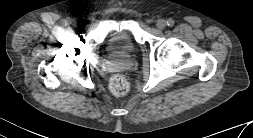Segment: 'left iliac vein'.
I'll list each match as a JSON object with an SVG mask.
<instances>
[{"instance_id": "4c4485c4", "label": "left iliac vein", "mask_w": 253, "mask_h": 138, "mask_svg": "<svg viewBox=\"0 0 253 138\" xmlns=\"http://www.w3.org/2000/svg\"><path fill=\"white\" fill-rule=\"evenodd\" d=\"M156 26L158 29L162 30L166 27V21L163 19H160L157 21Z\"/></svg>"}]
</instances>
